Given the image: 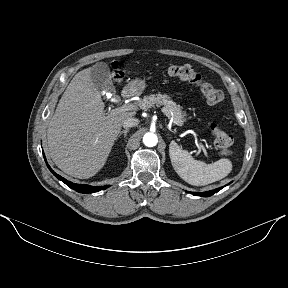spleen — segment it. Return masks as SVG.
<instances>
[{
	"mask_svg": "<svg viewBox=\"0 0 288 288\" xmlns=\"http://www.w3.org/2000/svg\"><path fill=\"white\" fill-rule=\"evenodd\" d=\"M172 166L177 174L187 183L203 186L225 178L232 170L229 159L223 158L212 164L194 160L188 151L183 150L176 142L169 146Z\"/></svg>",
	"mask_w": 288,
	"mask_h": 288,
	"instance_id": "1",
	"label": "spleen"
}]
</instances>
